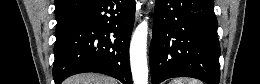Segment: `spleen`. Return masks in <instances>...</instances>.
Returning <instances> with one entry per match:
<instances>
[{
  "mask_svg": "<svg viewBox=\"0 0 260 84\" xmlns=\"http://www.w3.org/2000/svg\"><path fill=\"white\" fill-rule=\"evenodd\" d=\"M170 84H203L201 81L192 78H176Z\"/></svg>",
  "mask_w": 260,
  "mask_h": 84,
  "instance_id": "1",
  "label": "spleen"
}]
</instances>
